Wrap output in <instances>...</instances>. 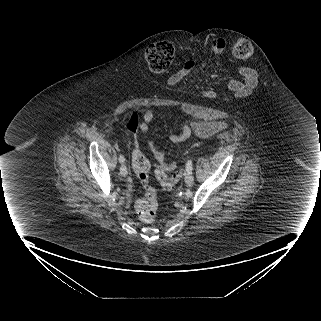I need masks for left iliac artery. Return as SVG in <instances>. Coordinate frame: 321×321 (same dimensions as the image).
<instances>
[{
	"instance_id": "obj_1",
	"label": "left iliac artery",
	"mask_w": 321,
	"mask_h": 321,
	"mask_svg": "<svg viewBox=\"0 0 321 321\" xmlns=\"http://www.w3.org/2000/svg\"><path fill=\"white\" fill-rule=\"evenodd\" d=\"M186 170H187L188 172H192L193 168H192V161H191V160H189V161L187 162V164H186Z\"/></svg>"
}]
</instances>
